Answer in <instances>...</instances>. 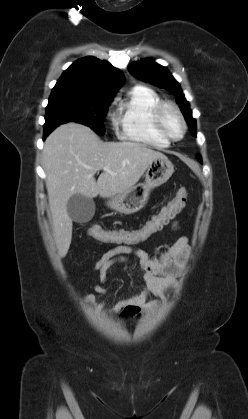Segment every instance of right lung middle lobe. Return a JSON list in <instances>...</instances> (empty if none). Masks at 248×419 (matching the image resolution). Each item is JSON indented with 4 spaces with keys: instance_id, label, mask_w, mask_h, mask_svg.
I'll list each match as a JSON object with an SVG mask.
<instances>
[{
    "instance_id": "obj_1",
    "label": "right lung middle lobe",
    "mask_w": 248,
    "mask_h": 419,
    "mask_svg": "<svg viewBox=\"0 0 248 419\" xmlns=\"http://www.w3.org/2000/svg\"><path fill=\"white\" fill-rule=\"evenodd\" d=\"M113 95H94L71 90H52L46 107L44 129L75 121L104 134V116Z\"/></svg>"
}]
</instances>
